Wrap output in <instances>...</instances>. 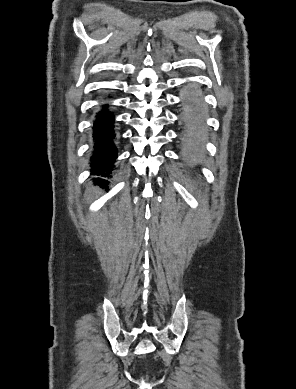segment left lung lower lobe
Wrapping results in <instances>:
<instances>
[{"label":"left lung lower lobe","mask_w":296,"mask_h":389,"mask_svg":"<svg viewBox=\"0 0 296 389\" xmlns=\"http://www.w3.org/2000/svg\"><path fill=\"white\" fill-rule=\"evenodd\" d=\"M191 101L194 104V106H198L199 105V100L196 97H192Z\"/></svg>","instance_id":"obj_1"}]
</instances>
